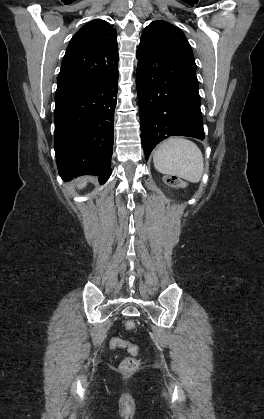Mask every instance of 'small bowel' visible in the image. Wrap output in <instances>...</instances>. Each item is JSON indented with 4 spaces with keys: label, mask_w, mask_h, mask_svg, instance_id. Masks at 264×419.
I'll use <instances>...</instances> for the list:
<instances>
[{
    "label": "small bowel",
    "mask_w": 264,
    "mask_h": 419,
    "mask_svg": "<svg viewBox=\"0 0 264 419\" xmlns=\"http://www.w3.org/2000/svg\"><path fill=\"white\" fill-rule=\"evenodd\" d=\"M116 340H118V338H114V339L111 341V347H112V348H116V346H115V342H116Z\"/></svg>",
    "instance_id": "1"
}]
</instances>
